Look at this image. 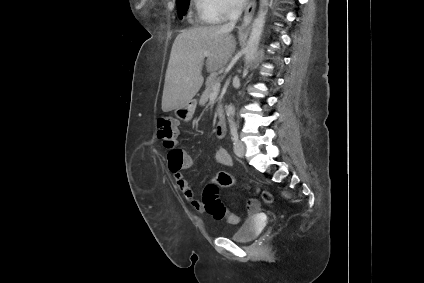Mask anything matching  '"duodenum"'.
Listing matches in <instances>:
<instances>
[{
	"instance_id": "1",
	"label": "duodenum",
	"mask_w": 424,
	"mask_h": 283,
	"mask_svg": "<svg viewBox=\"0 0 424 283\" xmlns=\"http://www.w3.org/2000/svg\"><path fill=\"white\" fill-rule=\"evenodd\" d=\"M226 130V118L224 115H220L216 124V134L218 137H223L225 135Z\"/></svg>"
}]
</instances>
